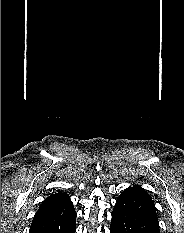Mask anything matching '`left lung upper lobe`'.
Listing matches in <instances>:
<instances>
[{"label": "left lung upper lobe", "instance_id": "1", "mask_svg": "<svg viewBox=\"0 0 184 233\" xmlns=\"http://www.w3.org/2000/svg\"><path fill=\"white\" fill-rule=\"evenodd\" d=\"M126 190L128 191H133V192H136L138 194H140L142 197H144L145 199H147L153 206H154V203H153V200L152 198L150 197V195L147 193V191H145L143 188H141L140 186H133V187H129L127 188ZM155 208V207H154Z\"/></svg>", "mask_w": 184, "mask_h": 233}]
</instances>
